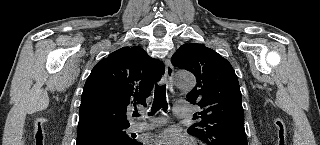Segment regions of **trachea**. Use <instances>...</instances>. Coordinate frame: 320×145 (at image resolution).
<instances>
[{"instance_id": "trachea-1", "label": "trachea", "mask_w": 320, "mask_h": 145, "mask_svg": "<svg viewBox=\"0 0 320 145\" xmlns=\"http://www.w3.org/2000/svg\"><path fill=\"white\" fill-rule=\"evenodd\" d=\"M159 109L166 111L168 104L166 100V85H155L154 101L149 115H154ZM134 117L139 116L138 112L133 113Z\"/></svg>"}]
</instances>
